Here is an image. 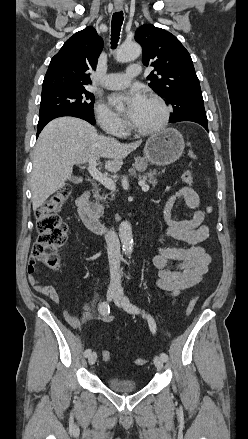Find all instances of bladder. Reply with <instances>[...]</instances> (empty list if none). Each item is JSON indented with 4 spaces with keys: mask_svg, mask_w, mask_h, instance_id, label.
Here are the masks:
<instances>
[{
    "mask_svg": "<svg viewBox=\"0 0 248 439\" xmlns=\"http://www.w3.org/2000/svg\"><path fill=\"white\" fill-rule=\"evenodd\" d=\"M107 385L114 392H134L138 386L134 380L111 376L107 378Z\"/></svg>",
    "mask_w": 248,
    "mask_h": 439,
    "instance_id": "obj_1",
    "label": "bladder"
}]
</instances>
